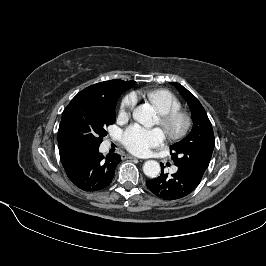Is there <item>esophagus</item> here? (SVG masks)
Instances as JSON below:
<instances>
[{
  "label": "esophagus",
  "mask_w": 266,
  "mask_h": 266,
  "mask_svg": "<svg viewBox=\"0 0 266 266\" xmlns=\"http://www.w3.org/2000/svg\"><path fill=\"white\" fill-rule=\"evenodd\" d=\"M125 158H127V159H139V158H136V157H134L132 155H126Z\"/></svg>",
  "instance_id": "34e87169"
}]
</instances>
